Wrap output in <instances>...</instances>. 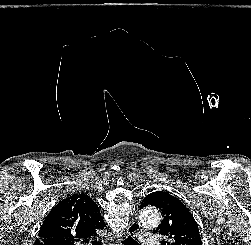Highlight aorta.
I'll return each instance as SVG.
<instances>
[{
    "instance_id": "762f6f07",
    "label": "aorta",
    "mask_w": 251,
    "mask_h": 245,
    "mask_svg": "<svg viewBox=\"0 0 251 245\" xmlns=\"http://www.w3.org/2000/svg\"><path fill=\"white\" fill-rule=\"evenodd\" d=\"M140 219L143 225L154 228L160 222V215L156 208L148 207L141 211Z\"/></svg>"
}]
</instances>
